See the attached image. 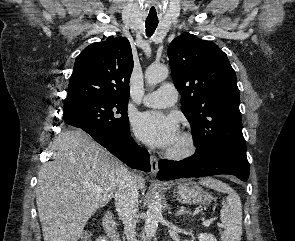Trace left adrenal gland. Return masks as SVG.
Here are the masks:
<instances>
[{
  "instance_id": "obj_1",
  "label": "left adrenal gland",
  "mask_w": 295,
  "mask_h": 241,
  "mask_svg": "<svg viewBox=\"0 0 295 241\" xmlns=\"http://www.w3.org/2000/svg\"><path fill=\"white\" fill-rule=\"evenodd\" d=\"M182 214H191L189 211L186 210L184 206H181L179 210L176 212V216H180Z\"/></svg>"
}]
</instances>
